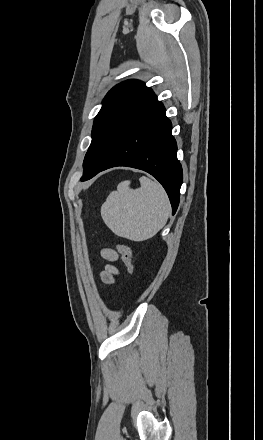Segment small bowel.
Instances as JSON below:
<instances>
[{
  "label": "small bowel",
  "mask_w": 263,
  "mask_h": 440,
  "mask_svg": "<svg viewBox=\"0 0 263 440\" xmlns=\"http://www.w3.org/2000/svg\"><path fill=\"white\" fill-rule=\"evenodd\" d=\"M101 255L107 261L113 262L118 259V254L114 249L105 248L102 249ZM118 269L113 265H107L105 269L101 272L100 276L104 283L111 284L114 282V277L118 275Z\"/></svg>",
  "instance_id": "c3829d8e"
}]
</instances>
